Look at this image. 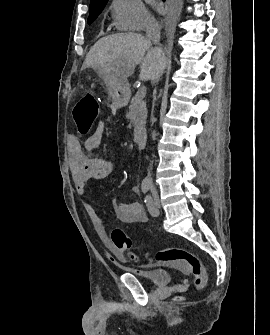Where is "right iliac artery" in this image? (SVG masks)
Segmentation results:
<instances>
[{
	"label": "right iliac artery",
	"mask_w": 270,
	"mask_h": 335,
	"mask_svg": "<svg viewBox=\"0 0 270 335\" xmlns=\"http://www.w3.org/2000/svg\"><path fill=\"white\" fill-rule=\"evenodd\" d=\"M149 187H150V182H149V180H148V179H144V180L142 181V184H141L142 192H143V193L148 192Z\"/></svg>",
	"instance_id": "obj_1"
}]
</instances>
